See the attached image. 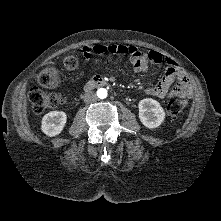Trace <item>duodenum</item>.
<instances>
[{"label": "duodenum", "instance_id": "410a0bca", "mask_svg": "<svg viewBox=\"0 0 221 221\" xmlns=\"http://www.w3.org/2000/svg\"><path fill=\"white\" fill-rule=\"evenodd\" d=\"M109 82L101 76H94L85 84V90L89 91L97 87H106L109 86Z\"/></svg>", "mask_w": 221, "mask_h": 221}]
</instances>
